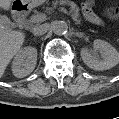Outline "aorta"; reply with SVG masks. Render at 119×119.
<instances>
[{
  "instance_id": "762f6f07",
  "label": "aorta",
  "mask_w": 119,
  "mask_h": 119,
  "mask_svg": "<svg viewBox=\"0 0 119 119\" xmlns=\"http://www.w3.org/2000/svg\"><path fill=\"white\" fill-rule=\"evenodd\" d=\"M52 30L56 35H64L68 30V25L65 21H54L52 23Z\"/></svg>"
}]
</instances>
